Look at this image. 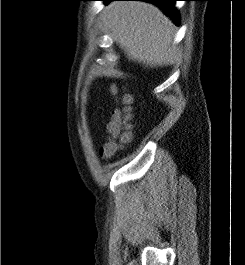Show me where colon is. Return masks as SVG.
<instances>
[{
	"mask_svg": "<svg viewBox=\"0 0 245 265\" xmlns=\"http://www.w3.org/2000/svg\"><path fill=\"white\" fill-rule=\"evenodd\" d=\"M113 95H118V88L116 86L111 87ZM120 106L117 107L111 116V120L108 124V131L110 139L102 146L101 154L105 156H111L116 153L123 144L127 143L131 139V102L132 98L128 94L122 95L118 98Z\"/></svg>",
	"mask_w": 245,
	"mask_h": 265,
	"instance_id": "5ec220e1",
	"label": "colon"
}]
</instances>
